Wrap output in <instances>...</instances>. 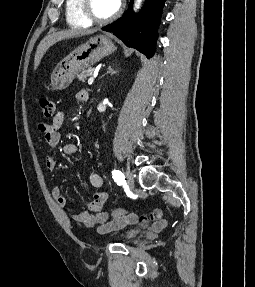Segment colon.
<instances>
[{
  "label": "colon",
  "instance_id": "5ec220e1",
  "mask_svg": "<svg viewBox=\"0 0 255 287\" xmlns=\"http://www.w3.org/2000/svg\"><path fill=\"white\" fill-rule=\"evenodd\" d=\"M40 107H41L44 117L51 118L54 115L55 104L52 100L47 99V98L41 99ZM128 214H129L128 211L124 208H117L111 212V215L113 218L124 217V216H127Z\"/></svg>",
  "mask_w": 255,
  "mask_h": 287
}]
</instances>
